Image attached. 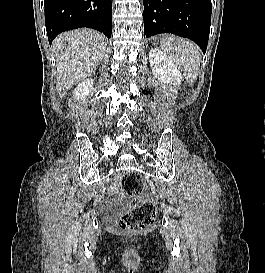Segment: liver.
Wrapping results in <instances>:
<instances>
[{"label": "liver", "mask_w": 265, "mask_h": 273, "mask_svg": "<svg viewBox=\"0 0 265 273\" xmlns=\"http://www.w3.org/2000/svg\"><path fill=\"white\" fill-rule=\"evenodd\" d=\"M57 63V92L62 98L74 84L90 76L104 56L105 37L91 29L60 34L52 43Z\"/></svg>", "instance_id": "1"}]
</instances>
